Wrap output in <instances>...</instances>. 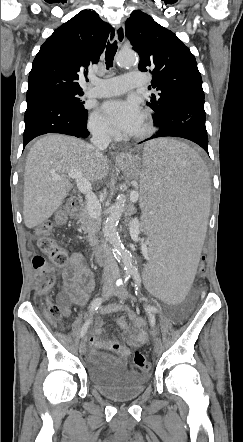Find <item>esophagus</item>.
<instances>
[{
	"label": "esophagus",
	"mask_w": 243,
	"mask_h": 442,
	"mask_svg": "<svg viewBox=\"0 0 243 442\" xmlns=\"http://www.w3.org/2000/svg\"><path fill=\"white\" fill-rule=\"evenodd\" d=\"M115 39L117 40L118 44L121 45L125 40V32H124V25L120 24L115 29ZM127 158V155L125 153H116L115 154V160L118 162H123Z\"/></svg>",
	"instance_id": "34e87169"
}]
</instances>
